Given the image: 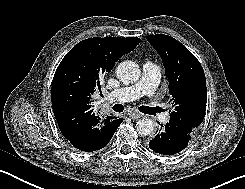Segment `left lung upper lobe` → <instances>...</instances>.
<instances>
[{"mask_svg": "<svg viewBox=\"0 0 245 189\" xmlns=\"http://www.w3.org/2000/svg\"><path fill=\"white\" fill-rule=\"evenodd\" d=\"M146 38L160 54L169 80L173 109L167 125L181 135L191 136L202 123L206 111L203 68L197 58L173 37L157 34Z\"/></svg>", "mask_w": 245, "mask_h": 189, "instance_id": "1", "label": "left lung upper lobe"}]
</instances>
